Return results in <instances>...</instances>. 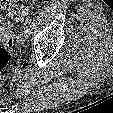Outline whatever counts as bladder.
Listing matches in <instances>:
<instances>
[{"label": "bladder", "instance_id": "obj_1", "mask_svg": "<svg viewBox=\"0 0 113 113\" xmlns=\"http://www.w3.org/2000/svg\"><path fill=\"white\" fill-rule=\"evenodd\" d=\"M8 31H9L8 28H5V29H4V31H3L2 35H1V37H2L3 39H5V38L7 37Z\"/></svg>", "mask_w": 113, "mask_h": 113}]
</instances>
